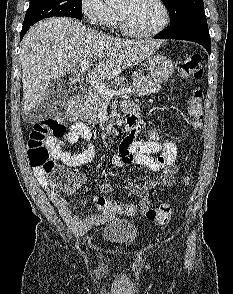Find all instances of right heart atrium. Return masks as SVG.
Returning a JSON list of instances; mask_svg holds the SVG:
<instances>
[{
	"label": "right heart atrium",
	"mask_w": 233,
	"mask_h": 294,
	"mask_svg": "<svg viewBox=\"0 0 233 294\" xmlns=\"http://www.w3.org/2000/svg\"><path fill=\"white\" fill-rule=\"evenodd\" d=\"M80 10L86 21L94 27L108 29L114 26L116 11L104 0H81Z\"/></svg>",
	"instance_id": "right-heart-atrium-1"
}]
</instances>
